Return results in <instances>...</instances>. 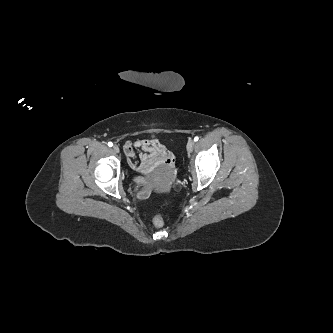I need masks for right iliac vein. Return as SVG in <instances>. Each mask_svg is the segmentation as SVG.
Returning <instances> with one entry per match:
<instances>
[{
  "mask_svg": "<svg viewBox=\"0 0 333 333\" xmlns=\"http://www.w3.org/2000/svg\"><path fill=\"white\" fill-rule=\"evenodd\" d=\"M113 150H114V152L118 153L119 152V147L117 145H114Z\"/></svg>",
  "mask_w": 333,
  "mask_h": 333,
  "instance_id": "1",
  "label": "right iliac vein"
}]
</instances>
